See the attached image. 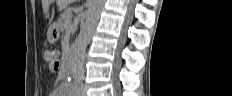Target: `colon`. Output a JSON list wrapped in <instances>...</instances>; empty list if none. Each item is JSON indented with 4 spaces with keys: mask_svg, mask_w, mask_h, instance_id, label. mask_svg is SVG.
Instances as JSON below:
<instances>
[{
    "mask_svg": "<svg viewBox=\"0 0 232 96\" xmlns=\"http://www.w3.org/2000/svg\"><path fill=\"white\" fill-rule=\"evenodd\" d=\"M47 61L54 67L59 66V52L55 49L48 50L45 54Z\"/></svg>",
    "mask_w": 232,
    "mask_h": 96,
    "instance_id": "1",
    "label": "colon"
}]
</instances>
